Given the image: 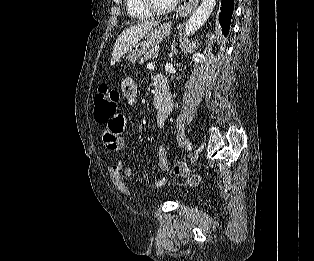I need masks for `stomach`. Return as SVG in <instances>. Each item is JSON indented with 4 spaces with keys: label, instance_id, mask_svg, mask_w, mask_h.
I'll list each match as a JSON object with an SVG mask.
<instances>
[{
    "label": "stomach",
    "instance_id": "1",
    "mask_svg": "<svg viewBox=\"0 0 314 261\" xmlns=\"http://www.w3.org/2000/svg\"><path fill=\"white\" fill-rule=\"evenodd\" d=\"M169 32V25H163L147 33L143 40L138 42L128 51L126 57L127 61L129 63H135L138 58L163 41L166 36H168Z\"/></svg>",
    "mask_w": 314,
    "mask_h": 261
}]
</instances>
